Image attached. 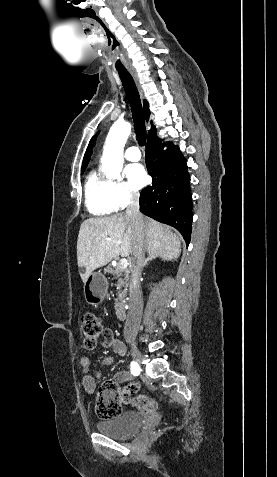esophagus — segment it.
Instances as JSON below:
<instances>
[{"label": "esophagus", "mask_w": 277, "mask_h": 477, "mask_svg": "<svg viewBox=\"0 0 277 477\" xmlns=\"http://www.w3.org/2000/svg\"><path fill=\"white\" fill-rule=\"evenodd\" d=\"M130 73H131V75H132V77H133V79H134V82H135V84H136V86H137V89H138V91H139V93H140V95H141V97H142V96H143V92H142V87H141V84H140V81H139L138 74H137L136 71H130Z\"/></svg>", "instance_id": "1"}]
</instances>
